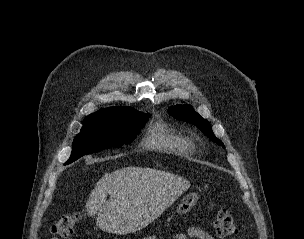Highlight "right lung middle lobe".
<instances>
[{"instance_id":"1","label":"right lung middle lobe","mask_w":304,"mask_h":239,"mask_svg":"<svg viewBox=\"0 0 304 239\" xmlns=\"http://www.w3.org/2000/svg\"><path fill=\"white\" fill-rule=\"evenodd\" d=\"M149 116L131 109L119 116L86 117L81 132L73 141L72 153L66 164L86 154L130 144Z\"/></svg>"}]
</instances>
